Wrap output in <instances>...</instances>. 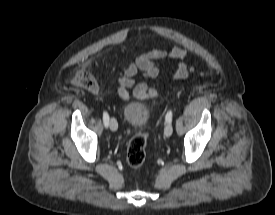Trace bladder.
Here are the masks:
<instances>
[{
  "instance_id": "1",
  "label": "bladder",
  "mask_w": 275,
  "mask_h": 215,
  "mask_svg": "<svg viewBox=\"0 0 275 215\" xmlns=\"http://www.w3.org/2000/svg\"><path fill=\"white\" fill-rule=\"evenodd\" d=\"M123 116L128 125L138 128L149 120L150 108L143 102L129 101L124 105Z\"/></svg>"
}]
</instances>
